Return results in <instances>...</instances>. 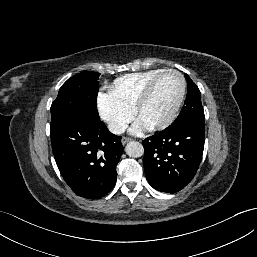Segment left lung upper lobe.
Instances as JSON below:
<instances>
[{
	"mask_svg": "<svg viewBox=\"0 0 257 257\" xmlns=\"http://www.w3.org/2000/svg\"><path fill=\"white\" fill-rule=\"evenodd\" d=\"M188 85V93L185 100V106H183L181 112L173 123H178L188 119H204V110L201 103V94L199 88L190 79V77L185 74Z\"/></svg>",
	"mask_w": 257,
	"mask_h": 257,
	"instance_id": "5c2ea615",
	"label": "left lung upper lobe"
}]
</instances>
